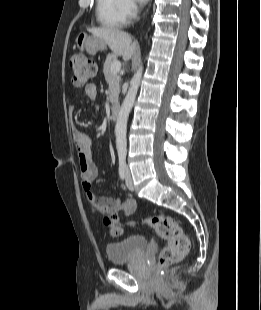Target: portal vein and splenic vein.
Wrapping results in <instances>:
<instances>
[{
  "mask_svg": "<svg viewBox=\"0 0 261 310\" xmlns=\"http://www.w3.org/2000/svg\"><path fill=\"white\" fill-rule=\"evenodd\" d=\"M121 69V62L120 61H114L111 65V72L112 73H118Z\"/></svg>",
  "mask_w": 261,
  "mask_h": 310,
  "instance_id": "18ae733b",
  "label": "portal vein and splenic vein"
}]
</instances>
